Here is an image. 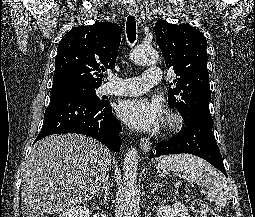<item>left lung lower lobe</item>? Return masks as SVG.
I'll return each mask as SVG.
<instances>
[{
    "instance_id": "obj_1",
    "label": "left lung lower lobe",
    "mask_w": 255,
    "mask_h": 217,
    "mask_svg": "<svg viewBox=\"0 0 255 217\" xmlns=\"http://www.w3.org/2000/svg\"><path fill=\"white\" fill-rule=\"evenodd\" d=\"M212 127V118L204 116L185 123V128L179 133L157 145L149 158L166 154H193L205 159L227 176Z\"/></svg>"
}]
</instances>
